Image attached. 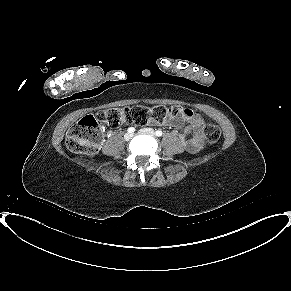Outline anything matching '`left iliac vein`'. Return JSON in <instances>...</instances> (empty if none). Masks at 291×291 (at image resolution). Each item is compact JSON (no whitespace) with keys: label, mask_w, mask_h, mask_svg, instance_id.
<instances>
[{"label":"left iliac vein","mask_w":291,"mask_h":291,"mask_svg":"<svg viewBox=\"0 0 291 291\" xmlns=\"http://www.w3.org/2000/svg\"><path fill=\"white\" fill-rule=\"evenodd\" d=\"M139 132H140V133L150 134V135H152V136L155 135V132H154L153 129H151V128H144V129H141Z\"/></svg>","instance_id":"obj_1"}]
</instances>
